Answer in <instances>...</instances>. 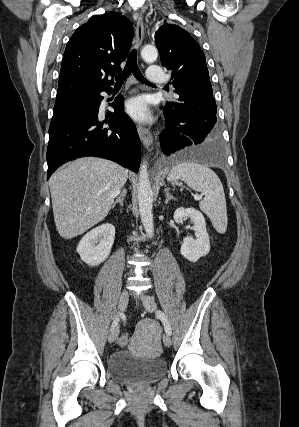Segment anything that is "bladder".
<instances>
[{
	"instance_id": "bladder-1",
	"label": "bladder",
	"mask_w": 299,
	"mask_h": 427,
	"mask_svg": "<svg viewBox=\"0 0 299 427\" xmlns=\"http://www.w3.org/2000/svg\"><path fill=\"white\" fill-rule=\"evenodd\" d=\"M166 362L160 358H145L127 350L113 353L107 363L109 377L122 384L148 385L165 376Z\"/></svg>"
}]
</instances>
